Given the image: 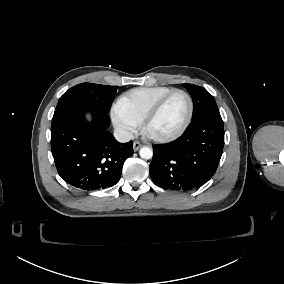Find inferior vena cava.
I'll list each match as a JSON object with an SVG mask.
<instances>
[{"label": "inferior vena cava", "instance_id": "inferior-vena-cava-1", "mask_svg": "<svg viewBox=\"0 0 284 284\" xmlns=\"http://www.w3.org/2000/svg\"><path fill=\"white\" fill-rule=\"evenodd\" d=\"M114 136L119 142H128L134 140L133 133L123 128L115 129Z\"/></svg>", "mask_w": 284, "mask_h": 284}]
</instances>
